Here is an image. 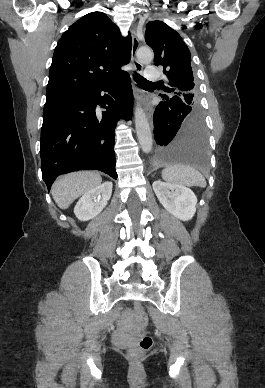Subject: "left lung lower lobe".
Here are the masks:
<instances>
[{
	"label": "left lung lower lobe",
	"mask_w": 265,
	"mask_h": 388,
	"mask_svg": "<svg viewBox=\"0 0 265 388\" xmlns=\"http://www.w3.org/2000/svg\"><path fill=\"white\" fill-rule=\"evenodd\" d=\"M154 113L155 161L207 165V132L200 109L163 95Z\"/></svg>",
	"instance_id": "obj_1"
}]
</instances>
